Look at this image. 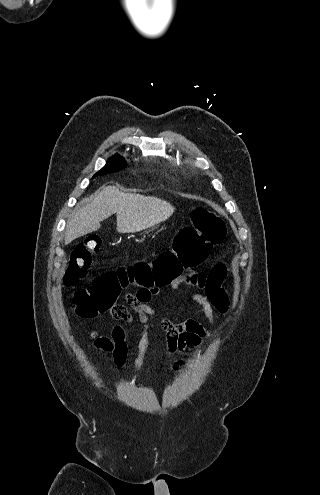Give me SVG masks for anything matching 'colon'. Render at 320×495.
Instances as JSON below:
<instances>
[{
    "label": "colon",
    "mask_w": 320,
    "mask_h": 495,
    "mask_svg": "<svg viewBox=\"0 0 320 495\" xmlns=\"http://www.w3.org/2000/svg\"><path fill=\"white\" fill-rule=\"evenodd\" d=\"M192 226L181 228L174 237L172 247L162 251L152 262H138L134 266L103 272L87 288L74 291L71 302L79 316L92 318L96 315L119 308L116 300L123 287L135 282L144 288L157 290L171 283L185 269H194L203 263L215 246L226 236L222 219L213 211L200 206L191 214ZM102 241L91 235L77 245L71 253L64 274V284L74 287L83 280L92 265V256L99 251ZM135 300H149V295L138 291ZM95 345L109 351L113 342L108 337H95Z\"/></svg>",
    "instance_id": "colon-1"
}]
</instances>
